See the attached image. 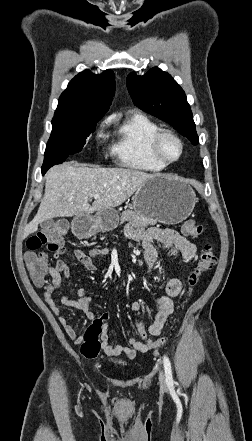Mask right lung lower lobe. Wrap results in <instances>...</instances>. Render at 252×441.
Masks as SVG:
<instances>
[{"instance_id": "1", "label": "right lung lower lobe", "mask_w": 252, "mask_h": 441, "mask_svg": "<svg viewBox=\"0 0 252 441\" xmlns=\"http://www.w3.org/2000/svg\"><path fill=\"white\" fill-rule=\"evenodd\" d=\"M47 170L42 169V174H44Z\"/></svg>"}]
</instances>
